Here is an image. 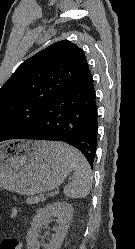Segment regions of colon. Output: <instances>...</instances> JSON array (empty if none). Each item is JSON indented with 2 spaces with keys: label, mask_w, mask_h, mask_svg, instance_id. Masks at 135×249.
<instances>
[{
  "label": "colon",
  "mask_w": 135,
  "mask_h": 249,
  "mask_svg": "<svg viewBox=\"0 0 135 249\" xmlns=\"http://www.w3.org/2000/svg\"><path fill=\"white\" fill-rule=\"evenodd\" d=\"M0 249H21V244L16 237L10 236L2 240Z\"/></svg>",
  "instance_id": "colon-1"
}]
</instances>
